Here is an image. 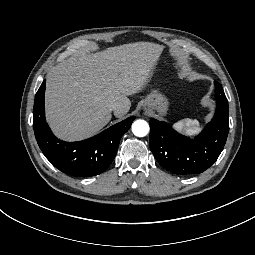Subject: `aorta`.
Returning <instances> with one entry per match:
<instances>
[{"label": "aorta", "instance_id": "obj_1", "mask_svg": "<svg viewBox=\"0 0 255 255\" xmlns=\"http://www.w3.org/2000/svg\"><path fill=\"white\" fill-rule=\"evenodd\" d=\"M132 132L138 137H144L149 132V125L145 120H136L132 124Z\"/></svg>", "mask_w": 255, "mask_h": 255}]
</instances>
